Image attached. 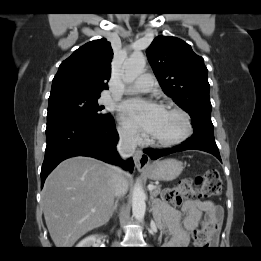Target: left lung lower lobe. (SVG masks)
I'll list each match as a JSON object with an SVG mask.
<instances>
[{
  "mask_svg": "<svg viewBox=\"0 0 261 261\" xmlns=\"http://www.w3.org/2000/svg\"><path fill=\"white\" fill-rule=\"evenodd\" d=\"M202 150L214 155L221 161L218 147L214 139L213 129L200 128L194 130L193 135L184 141L182 144L175 146L171 149H145L146 153L152 160L158 159L159 157L180 152L184 150Z\"/></svg>",
  "mask_w": 261,
  "mask_h": 261,
  "instance_id": "obj_1",
  "label": "left lung lower lobe"
}]
</instances>
